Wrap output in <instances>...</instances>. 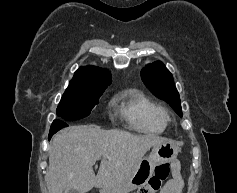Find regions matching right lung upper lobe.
Masks as SVG:
<instances>
[{
	"mask_svg": "<svg viewBox=\"0 0 237 193\" xmlns=\"http://www.w3.org/2000/svg\"><path fill=\"white\" fill-rule=\"evenodd\" d=\"M111 83L108 71L93 66L80 67L74 74L69 86L85 89H102Z\"/></svg>",
	"mask_w": 237,
	"mask_h": 193,
	"instance_id": "1",
	"label": "right lung upper lobe"
}]
</instances>
